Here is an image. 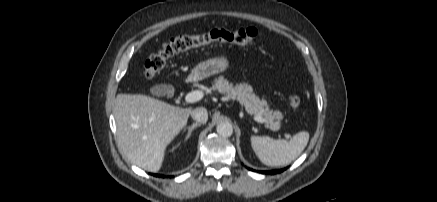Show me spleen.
<instances>
[{"mask_svg":"<svg viewBox=\"0 0 437 202\" xmlns=\"http://www.w3.org/2000/svg\"><path fill=\"white\" fill-rule=\"evenodd\" d=\"M252 149L259 160L267 166H284L295 160L309 141L307 131L298 132L289 141L274 140L269 136H251Z\"/></svg>","mask_w":437,"mask_h":202,"instance_id":"obj_1","label":"spleen"}]
</instances>
